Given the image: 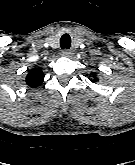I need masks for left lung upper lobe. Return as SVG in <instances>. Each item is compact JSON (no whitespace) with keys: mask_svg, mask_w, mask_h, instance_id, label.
<instances>
[{"mask_svg":"<svg viewBox=\"0 0 135 165\" xmlns=\"http://www.w3.org/2000/svg\"><path fill=\"white\" fill-rule=\"evenodd\" d=\"M94 77V79H90L92 82H96L98 79L95 77V76H93Z\"/></svg>","mask_w":135,"mask_h":165,"instance_id":"left-lung-upper-lobe-1","label":"left lung upper lobe"}]
</instances>
